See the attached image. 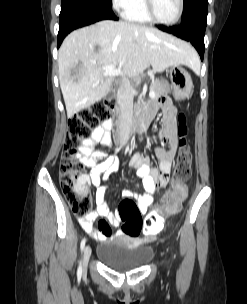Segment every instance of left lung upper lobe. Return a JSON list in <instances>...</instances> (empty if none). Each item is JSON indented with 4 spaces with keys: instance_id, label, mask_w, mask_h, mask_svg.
I'll use <instances>...</instances> for the list:
<instances>
[{
    "instance_id": "5c2ea615",
    "label": "left lung upper lobe",
    "mask_w": 247,
    "mask_h": 304,
    "mask_svg": "<svg viewBox=\"0 0 247 304\" xmlns=\"http://www.w3.org/2000/svg\"><path fill=\"white\" fill-rule=\"evenodd\" d=\"M208 0H184V9L182 19L186 18L187 15L193 10V8L199 4H204Z\"/></svg>"
}]
</instances>
